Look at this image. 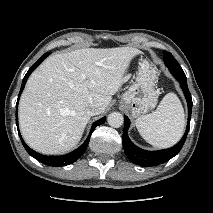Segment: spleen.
I'll use <instances>...</instances> for the list:
<instances>
[{"label": "spleen", "instance_id": "1", "mask_svg": "<svg viewBox=\"0 0 213 213\" xmlns=\"http://www.w3.org/2000/svg\"><path fill=\"white\" fill-rule=\"evenodd\" d=\"M136 127L145 141L158 148L176 144L183 135L185 115L174 93L164 96L156 111L140 116Z\"/></svg>", "mask_w": 213, "mask_h": 213}]
</instances>
